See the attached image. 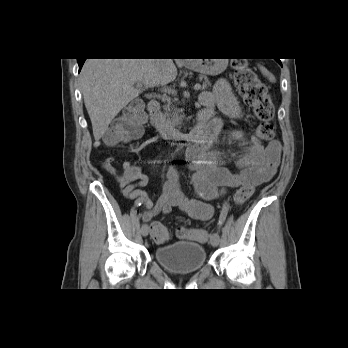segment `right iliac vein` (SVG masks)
<instances>
[{
  "mask_svg": "<svg viewBox=\"0 0 348 348\" xmlns=\"http://www.w3.org/2000/svg\"><path fill=\"white\" fill-rule=\"evenodd\" d=\"M141 233L144 237H146L149 234V226L147 224H144L142 226Z\"/></svg>",
  "mask_w": 348,
  "mask_h": 348,
  "instance_id": "63e3f726",
  "label": "right iliac vein"
}]
</instances>
